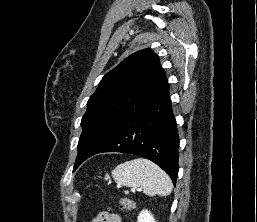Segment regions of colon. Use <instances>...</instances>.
Instances as JSON below:
<instances>
[{"mask_svg":"<svg viewBox=\"0 0 257 222\" xmlns=\"http://www.w3.org/2000/svg\"><path fill=\"white\" fill-rule=\"evenodd\" d=\"M128 200L126 198L121 199V205L122 207L126 208L128 206Z\"/></svg>","mask_w":257,"mask_h":222,"instance_id":"obj_1","label":"colon"}]
</instances>
